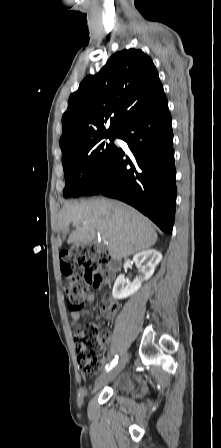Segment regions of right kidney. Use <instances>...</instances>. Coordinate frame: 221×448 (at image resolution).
Wrapping results in <instances>:
<instances>
[{
  "instance_id": "right-kidney-1",
  "label": "right kidney",
  "mask_w": 221,
  "mask_h": 448,
  "mask_svg": "<svg viewBox=\"0 0 221 448\" xmlns=\"http://www.w3.org/2000/svg\"><path fill=\"white\" fill-rule=\"evenodd\" d=\"M162 259V254L155 249H148L136 254L133 261L139 269L140 275L131 283L119 275L114 283L112 295L115 299H124L137 292L142 283L154 273L156 266Z\"/></svg>"
}]
</instances>
